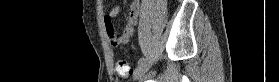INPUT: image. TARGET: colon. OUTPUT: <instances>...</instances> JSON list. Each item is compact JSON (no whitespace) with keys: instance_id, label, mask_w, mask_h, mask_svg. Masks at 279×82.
Instances as JSON below:
<instances>
[{"instance_id":"5ec220e1","label":"colon","mask_w":279,"mask_h":82,"mask_svg":"<svg viewBox=\"0 0 279 82\" xmlns=\"http://www.w3.org/2000/svg\"><path fill=\"white\" fill-rule=\"evenodd\" d=\"M116 71L122 77L131 75L132 68L125 59H119L116 63Z\"/></svg>"}]
</instances>
